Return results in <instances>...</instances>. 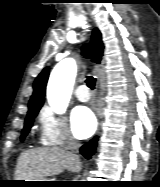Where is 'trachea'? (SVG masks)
I'll return each mask as SVG.
<instances>
[{
  "label": "trachea",
  "instance_id": "3493384b",
  "mask_svg": "<svg viewBox=\"0 0 160 187\" xmlns=\"http://www.w3.org/2000/svg\"><path fill=\"white\" fill-rule=\"evenodd\" d=\"M96 79L92 76H87L86 84L90 89L95 88Z\"/></svg>",
  "mask_w": 160,
  "mask_h": 187
}]
</instances>
